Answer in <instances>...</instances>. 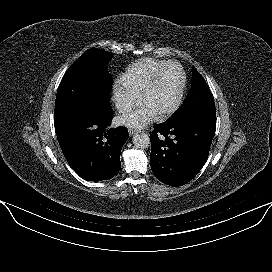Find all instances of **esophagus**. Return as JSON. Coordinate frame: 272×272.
I'll return each instance as SVG.
<instances>
[{
	"label": "esophagus",
	"instance_id": "obj_1",
	"mask_svg": "<svg viewBox=\"0 0 272 272\" xmlns=\"http://www.w3.org/2000/svg\"><path fill=\"white\" fill-rule=\"evenodd\" d=\"M137 132H138V129H133V128L128 129V133H129L130 136H132L133 134H135Z\"/></svg>",
	"mask_w": 272,
	"mask_h": 272
}]
</instances>
